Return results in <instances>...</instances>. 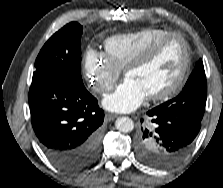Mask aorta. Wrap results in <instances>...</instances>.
<instances>
[{
    "instance_id": "obj_1",
    "label": "aorta",
    "mask_w": 223,
    "mask_h": 188,
    "mask_svg": "<svg viewBox=\"0 0 223 188\" xmlns=\"http://www.w3.org/2000/svg\"><path fill=\"white\" fill-rule=\"evenodd\" d=\"M115 126L120 132L128 133L134 128V122L129 117H120L116 120Z\"/></svg>"
}]
</instances>
